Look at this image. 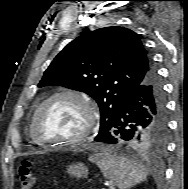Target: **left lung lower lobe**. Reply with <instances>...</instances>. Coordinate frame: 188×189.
I'll use <instances>...</instances> for the list:
<instances>
[{"mask_svg": "<svg viewBox=\"0 0 188 189\" xmlns=\"http://www.w3.org/2000/svg\"><path fill=\"white\" fill-rule=\"evenodd\" d=\"M167 128L166 101L154 70L129 94L115 117L112 127L97 142L131 144L132 139L145 130L162 132Z\"/></svg>", "mask_w": 188, "mask_h": 189, "instance_id": "1", "label": "left lung lower lobe"}]
</instances>
